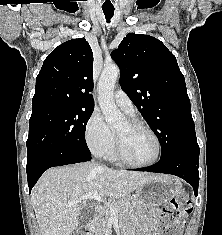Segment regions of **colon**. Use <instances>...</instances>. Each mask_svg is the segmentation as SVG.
I'll list each match as a JSON object with an SVG mask.
<instances>
[{
	"label": "colon",
	"mask_w": 222,
	"mask_h": 235,
	"mask_svg": "<svg viewBox=\"0 0 222 235\" xmlns=\"http://www.w3.org/2000/svg\"><path fill=\"white\" fill-rule=\"evenodd\" d=\"M192 211V205L184 192H179L165 206V218L163 220L162 235H179L181 226L179 220ZM72 235H83L74 233Z\"/></svg>",
	"instance_id": "1"
}]
</instances>
